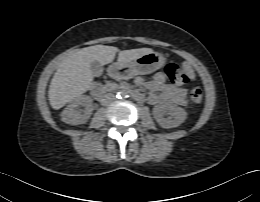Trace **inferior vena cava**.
<instances>
[{"instance_id": "1", "label": "inferior vena cava", "mask_w": 260, "mask_h": 202, "mask_svg": "<svg viewBox=\"0 0 260 202\" xmlns=\"http://www.w3.org/2000/svg\"><path fill=\"white\" fill-rule=\"evenodd\" d=\"M115 100V96L112 93H107L105 95L102 96L101 98V104L102 105H109L110 103H112Z\"/></svg>"}]
</instances>
